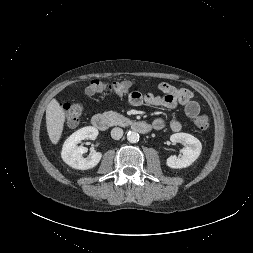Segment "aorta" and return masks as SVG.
I'll list each match as a JSON object with an SVG mask.
<instances>
[{
	"mask_svg": "<svg viewBox=\"0 0 253 253\" xmlns=\"http://www.w3.org/2000/svg\"><path fill=\"white\" fill-rule=\"evenodd\" d=\"M127 140L130 143H137L139 141V134L135 131H129L127 133Z\"/></svg>",
	"mask_w": 253,
	"mask_h": 253,
	"instance_id": "obj_1",
	"label": "aorta"
}]
</instances>
